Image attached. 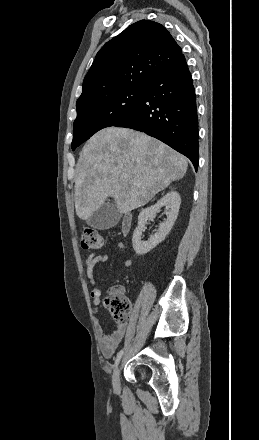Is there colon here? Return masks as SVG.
<instances>
[{"label": "colon", "instance_id": "5ec220e1", "mask_svg": "<svg viewBox=\"0 0 259 440\" xmlns=\"http://www.w3.org/2000/svg\"><path fill=\"white\" fill-rule=\"evenodd\" d=\"M81 246L86 250H96L104 246V238L95 228L85 226L81 233ZM105 307L110 311L114 321L122 326L131 313V303L121 295L118 287H113L104 299Z\"/></svg>", "mask_w": 259, "mask_h": 440}]
</instances>
